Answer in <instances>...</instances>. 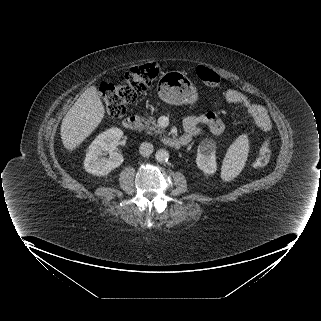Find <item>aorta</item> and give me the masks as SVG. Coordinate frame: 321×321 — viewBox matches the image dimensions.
<instances>
[{
  "label": "aorta",
  "instance_id": "1",
  "mask_svg": "<svg viewBox=\"0 0 321 321\" xmlns=\"http://www.w3.org/2000/svg\"><path fill=\"white\" fill-rule=\"evenodd\" d=\"M155 159L160 163L167 162L169 159V152L166 149H159L155 153Z\"/></svg>",
  "mask_w": 321,
  "mask_h": 321
}]
</instances>
